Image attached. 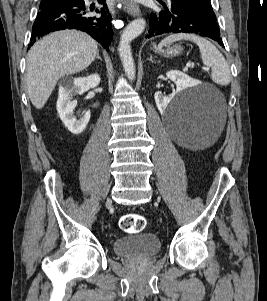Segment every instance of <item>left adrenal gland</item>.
Returning a JSON list of instances; mask_svg holds the SVG:
<instances>
[{"label": "left adrenal gland", "instance_id": "obj_1", "mask_svg": "<svg viewBox=\"0 0 267 301\" xmlns=\"http://www.w3.org/2000/svg\"><path fill=\"white\" fill-rule=\"evenodd\" d=\"M148 60L151 61L152 63H155L152 59V55H150V58Z\"/></svg>", "mask_w": 267, "mask_h": 301}]
</instances>
